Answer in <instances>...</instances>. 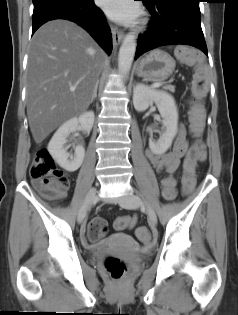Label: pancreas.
Masks as SVG:
<instances>
[{"instance_id": "1", "label": "pancreas", "mask_w": 238, "mask_h": 315, "mask_svg": "<svg viewBox=\"0 0 238 315\" xmlns=\"http://www.w3.org/2000/svg\"><path fill=\"white\" fill-rule=\"evenodd\" d=\"M163 88L166 89V90H169L171 92L175 91V87L173 85H166Z\"/></svg>"}]
</instances>
